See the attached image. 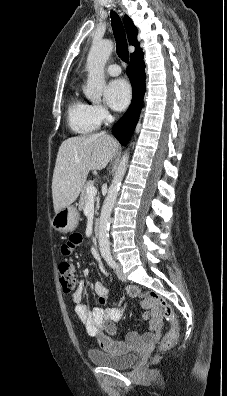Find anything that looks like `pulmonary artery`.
Wrapping results in <instances>:
<instances>
[{
	"mask_svg": "<svg viewBox=\"0 0 227 396\" xmlns=\"http://www.w3.org/2000/svg\"><path fill=\"white\" fill-rule=\"evenodd\" d=\"M106 70L112 76H118L121 73V68L117 64L109 65Z\"/></svg>",
	"mask_w": 227,
	"mask_h": 396,
	"instance_id": "pulmonary-artery-1",
	"label": "pulmonary artery"
}]
</instances>
